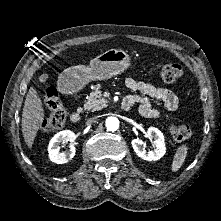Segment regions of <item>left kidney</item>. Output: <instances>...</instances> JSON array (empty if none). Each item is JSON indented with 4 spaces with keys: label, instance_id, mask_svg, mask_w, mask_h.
<instances>
[{
    "label": "left kidney",
    "instance_id": "left-kidney-1",
    "mask_svg": "<svg viewBox=\"0 0 221 221\" xmlns=\"http://www.w3.org/2000/svg\"><path fill=\"white\" fill-rule=\"evenodd\" d=\"M147 136L154 140V150L147 152L145 147L143 146V140L139 138L132 140V147L137 156L142 158L143 160L157 161L161 157H163L166 152L163 133L155 127H150L148 128Z\"/></svg>",
    "mask_w": 221,
    "mask_h": 221
}]
</instances>
